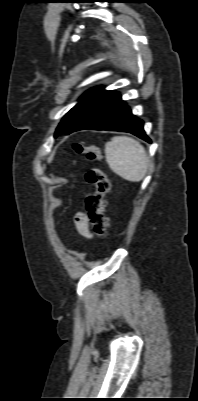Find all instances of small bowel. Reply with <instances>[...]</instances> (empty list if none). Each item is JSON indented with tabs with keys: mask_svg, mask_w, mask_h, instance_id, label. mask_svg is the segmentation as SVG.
<instances>
[{
	"mask_svg": "<svg viewBox=\"0 0 198 401\" xmlns=\"http://www.w3.org/2000/svg\"><path fill=\"white\" fill-rule=\"evenodd\" d=\"M74 225L77 233L83 237H91L89 221L85 212H77L74 217Z\"/></svg>",
	"mask_w": 198,
	"mask_h": 401,
	"instance_id": "small-bowel-1",
	"label": "small bowel"
}]
</instances>
